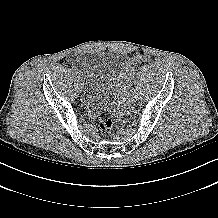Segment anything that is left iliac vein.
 Wrapping results in <instances>:
<instances>
[{"instance_id": "left-iliac-vein-1", "label": "left iliac vein", "mask_w": 218, "mask_h": 218, "mask_svg": "<svg viewBox=\"0 0 218 218\" xmlns=\"http://www.w3.org/2000/svg\"><path fill=\"white\" fill-rule=\"evenodd\" d=\"M127 100L130 102V101L133 100V97H132V96H129Z\"/></svg>"}]
</instances>
